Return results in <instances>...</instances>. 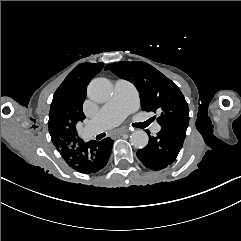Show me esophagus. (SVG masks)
Here are the masks:
<instances>
[{"instance_id": "esophagus-1", "label": "esophagus", "mask_w": 241, "mask_h": 241, "mask_svg": "<svg viewBox=\"0 0 241 241\" xmlns=\"http://www.w3.org/2000/svg\"><path fill=\"white\" fill-rule=\"evenodd\" d=\"M128 132H129V130L127 128H122V129L116 131L115 133H113V137H115L118 134L120 135V134L128 133Z\"/></svg>"}]
</instances>
